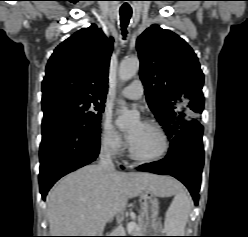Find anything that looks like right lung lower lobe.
<instances>
[{
    "mask_svg": "<svg viewBox=\"0 0 248 237\" xmlns=\"http://www.w3.org/2000/svg\"><path fill=\"white\" fill-rule=\"evenodd\" d=\"M100 150V125L42 121L39 185L42 198L62 176L94 161Z\"/></svg>",
    "mask_w": 248,
    "mask_h": 237,
    "instance_id": "right-lung-lower-lobe-1",
    "label": "right lung lower lobe"
}]
</instances>
